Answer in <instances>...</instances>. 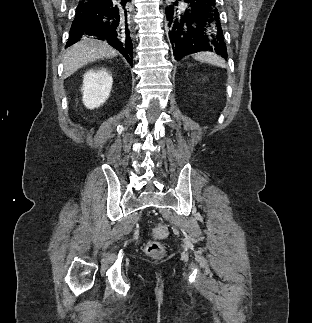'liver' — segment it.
Listing matches in <instances>:
<instances>
[{
	"label": "liver",
	"instance_id": "liver-1",
	"mask_svg": "<svg viewBox=\"0 0 312 323\" xmlns=\"http://www.w3.org/2000/svg\"><path fill=\"white\" fill-rule=\"evenodd\" d=\"M113 56H118V52L106 42L93 40V36L82 38L80 42L68 48L63 58L64 78H68L89 62H95L101 58H113Z\"/></svg>",
	"mask_w": 312,
	"mask_h": 323
}]
</instances>
